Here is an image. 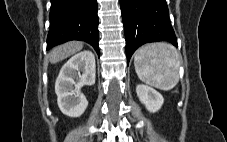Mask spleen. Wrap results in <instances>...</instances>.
<instances>
[{"mask_svg":"<svg viewBox=\"0 0 227 142\" xmlns=\"http://www.w3.org/2000/svg\"><path fill=\"white\" fill-rule=\"evenodd\" d=\"M139 79L161 90H170L179 82V54L168 43L147 44L134 57Z\"/></svg>","mask_w":227,"mask_h":142,"instance_id":"obj_1","label":"spleen"}]
</instances>
